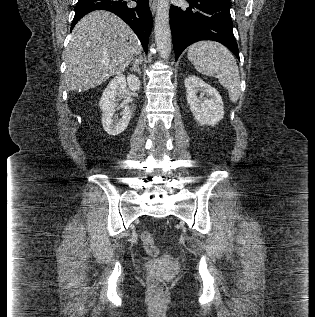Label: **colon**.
<instances>
[{"label":"colon","instance_id":"5ec220e1","mask_svg":"<svg viewBox=\"0 0 315 317\" xmlns=\"http://www.w3.org/2000/svg\"><path fill=\"white\" fill-rule=\"evenodd\" d=\"M141 239L146 252L151 256H156L158 254V248L154 242L152 234L145 231L142 233ZM147 283L154 296L160 297L166 293V284L158 276L149 274L147 276Z\"/></svg>","mask_w":315,"mask_h":317}]
</instances>
